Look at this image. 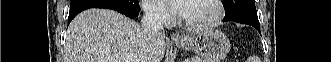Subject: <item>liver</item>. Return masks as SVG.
Here are the masks:
<instances>
[{"label": "liver", "mask_w": 331, "mask_h": 62, "mask_svg": "<svg viewBox=\"0 0 331 62\" xmlns=\"http://www.w3.org/2000/svg\"><path fill=\"white\" fill-rule=\"evenodd\" d=\"M164 37L151 38L135 21L113 10L89 9L70 23L64 62H110L108 56L134 54L140 62H161Z\"/></svg>", "instance_id": "6515ba94"}]
</instances>
